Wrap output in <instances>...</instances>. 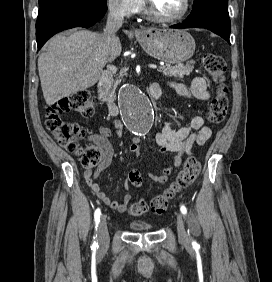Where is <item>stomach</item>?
<instances>
[{
  "label": "stomach",
  "mask_w": 272,
  "mask_h": 282,
  "mask_svg": "<svg viewBox=\"0 0 272 282\" xmlns=\"http://www.w3.org/2000/svg\"><path fill=\"white\" fill-rule=\"evenodd\" d=\"M135 35L150 56L168 64H180L190 59L196 47L193 37L185 30L147 28Z\"/></svg>",
  "instance_id": "1"
}]
</instances>
